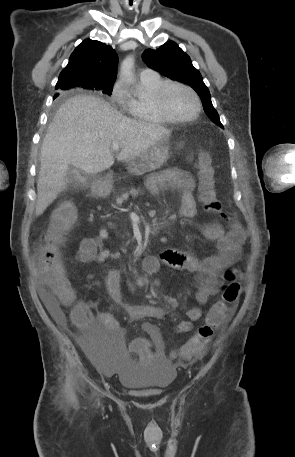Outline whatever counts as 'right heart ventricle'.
<instances>
[{
  "mask_svg": "<svg viewBox=\"0 0 295 457\" xmlns=\"http://www.w3.org/2000/svg\"><path fill=\"white\" fill-rule=\"evenodd\" d=\"M165 82L159 75L140 78L142 95L130 97L128 111L130 116L142 123L164 124L168 122L157 110L154 102L156 90Z\"/></svg>",
  "mask_w": 295,
  "mask_h": 457,
  "instance_id": "obj_1",
  "label": "right heart ventricle"
}]
</instances>
